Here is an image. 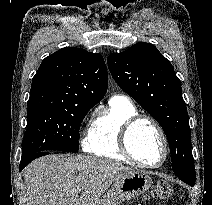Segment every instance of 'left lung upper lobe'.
Masks as SVG:
<instances>
[{"mask_svg": "<svg viewBox=\"0 0 212 205\" xmlns=\"http://www.w3.org/2000/svg\"><path fill=\"white\" fill-rule=\"evenodd\" d=\"M113 79L163 128L177 177L195 179L191 132L181 82L170 63L150 43H137L107 58Z\"/></svg>", "mask_w": 212, "mask_h": 205, "instance_id": "obj_1", "label": "left lung upper lobe"}]
</instances>
